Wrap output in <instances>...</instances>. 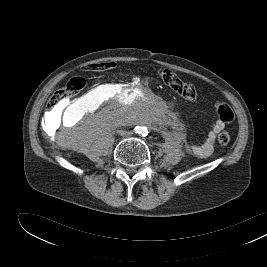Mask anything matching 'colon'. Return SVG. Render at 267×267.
Wrapping results in <instances>:
<instances>
[{
  "instance_id": "5ec220e1",
  "label": "colon",
  "mask_w": 267,
  "mask_h": 267,
  "mask_svg": "<svg viewBox=\"0 0 267 267\" xmlns=\"http://www.w3.org/2000/svg\"><path fill=\"white\" fill-rule=\"evenodd\" d=\"M112 67V63L106 62L92 65V70H105ZM159 77L162 82L176 92L186 101H195L197 98V91L195 87L183 81L179 76L169 69L159 70ZM85 80L82 76H75L71 78L63 87L58 89L51 97L48 103L49 111L63 104L65 101L71 99L79 91L83 89ZM215 110L220 120L223 122H231L234 118V113L231 106L225 102L218 101L215 104ZM217 142L221 147H225L230 142V135L227 131H222L217 137Z\"/></svg>"
}]
</instances>
